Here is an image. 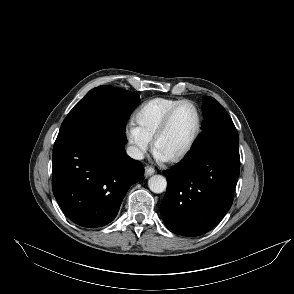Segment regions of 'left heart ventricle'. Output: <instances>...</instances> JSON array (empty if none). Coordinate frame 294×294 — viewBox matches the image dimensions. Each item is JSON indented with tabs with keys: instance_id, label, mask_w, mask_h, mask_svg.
Here are the masks:
<instances>
[{
	"instance_id": "b2bd125f",
	"label": "left heart ventricle",
	"mask_w": 294,
	"mask_h": 294,
	"mask_svg": "<svg viewBox=\"0 0 294 294\" xmlns=\"http://www.w3.org/2000/svg\"><path fill=\"white\" fill-rule=\"evenodd\" d=\"M197 123L195 109L190 104L181 106L175 113L169 129L157 145V153L170 158L188 144Z\"/></svg>"
}]
</instances>
